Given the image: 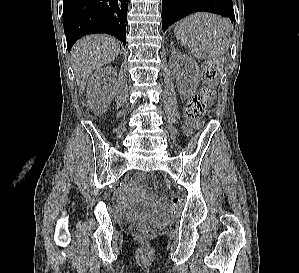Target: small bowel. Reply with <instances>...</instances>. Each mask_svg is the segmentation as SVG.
I'll return each mask as SVG.
<instances>
[{
	"label": "small bowel",
	"instance_id": "small-bowel-1",
	"mask_svg": "<svg viewBox=\"0 0 299 273\" xmlns=\"http://www.w3.org/2000/svg\"><path fill=\"white\" fill-rule=\"evenodd\" d=\"M142 200L153 208L154 215L158 218L166 217V204L163 198H158L154 195H143ZM133 197H127L122 204V209L126 215L133 217L138 215L137 210L133 206Z\"/></svg>",
	"mask_w": 299,
	"mask_h": 273
}]
</instances>
